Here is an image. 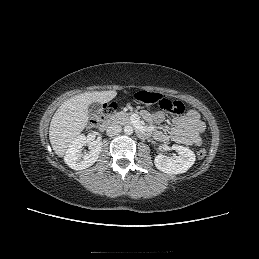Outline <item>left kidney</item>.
Listing matches in <instances>:
<instances>
[{"mask_svg":"<svg viewBox=\"0 0 259 259\" xmlns=\"http://www.w3.org/2000/svg\"><path fill=\"white\" fill-rule=\"evenodd\" d=\"M172 149L178 153L175 158L159 154L154 163L157 169L167 174H181L186 172L195 162V154L190 149L173 145Z\"/></svg>","mask_w":259,"mask_h":259,"instance_id":"5707ae66","label":"left kidney"}]
</instances>
